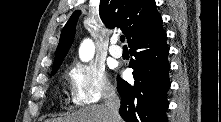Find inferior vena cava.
I'll use <instances>...</instances> for the list:
<instances>
[{
  "label": "inferior vena cava",
  "instance_id": "1",
  "mask_svg": "<svg viewBox=\"0 0 221 122\" xmlns=\"http://www.w3.org/2000/svg\"><path fill=\"white\" fill-rule=\"evenodd\" d=\"M105 106L109 112L110 122H116L119 117L120 100L112 88L105 90Z\"/></svg>",
  "mask_w": 221,
  "mask_h": 122
}]
</instances>
